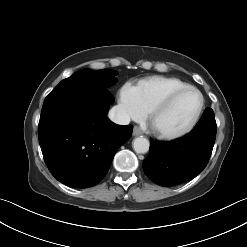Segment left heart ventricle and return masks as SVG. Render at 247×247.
Returning <instances> with one entry per match:
<instances>
[{"mask_svg": "<svg viewBox=\"0 0 247 247\" xmlns=\"http://www.w3.org/2000/svg\"><path fill=\"white\" fill-rule=\"evenodd\" d=\"M200 105L198 93L190 91L178 96L170 106L156 116L154 126L164 132H176L186 127Z\"/></svg>", "mask_w": 247, "mask_h": 247, "instance_id": "left-heart-ventricle-1", "label": "left heart ventricle"}]
</instances>
